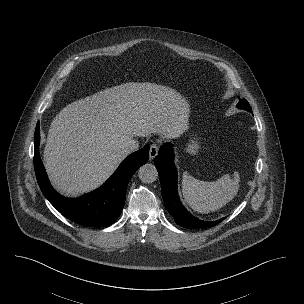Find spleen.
I'll return each mask as SVG.
<instances>
[{
    "instance_id": "spleen-1",
    "label": "spleen",
    "mask_w": 304,
    "mask_h": 304,
    "mask_svg": "<svg viewBox=\"0 0 304 304\" xmlns=\"http://www.w3.org/2000/svg\"><path fill=\"white\" fill-rule=\"evenodd\" d=\"M239 174L232 179L225 174L217 181H200L187 172L182 178V193L186 203L199 213H209L220 209L231 201L239 190Z\"/></svg>"
}]
</instances>
